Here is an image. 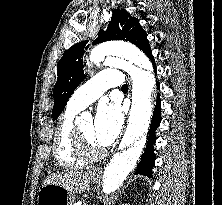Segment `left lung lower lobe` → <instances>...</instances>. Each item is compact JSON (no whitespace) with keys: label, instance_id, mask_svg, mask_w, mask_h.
<instances>
[{"label":"left lung lower lobe","instance_id":"obj_1","mask_svg":"<svg viewBox=\"0 0 222 205\" xmlns=\"http://www.w3.org/2000/svg\"><path fill=\"white\" fill-rule=\"evenodd\" d=\"M140 49L147 55V57L151 60L153 63L154 69L156 71V66L154 64L155 60L152 55V50L150 48L149 42L147 38L144 40L143 44L141 45ZM158 88L160 87V84L157 83ZM161 122V99L159 98V95L157 97V103L153 112L152 121L150 125L149 130V136L148 141L146 145L145 152L142 156V159L136 169L135 174H143L148 177H152V168L155 162V154L153 150V145L155 143V130L159 126Z\"/></svg>","mask_w":222,"mask_h":205}]
</instances>
